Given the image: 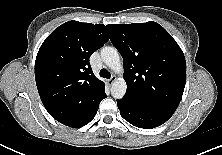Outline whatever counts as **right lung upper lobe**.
I'll list each match as a JSON object with an SVG mask.
<instances>
[{"label": "right lung upper lobe", "instance_id": "1", "mask_svg": "<svg viewBox=\"0 0 222 155\" xmlns=\"http://www.w3.org/2000/svg\"><path fill=\"white\" fill-rule=\"evenodd\" d=\"M108 40L103 24L68 21L41 45L35 61L36 84L43 105L57 121L81 114L105 94L89 57Z\"/></svg>", "mask_w": 222, "mask_h": 155}]
</instances>
